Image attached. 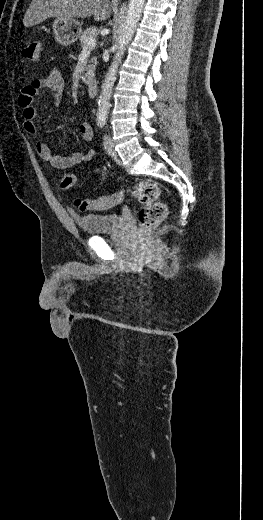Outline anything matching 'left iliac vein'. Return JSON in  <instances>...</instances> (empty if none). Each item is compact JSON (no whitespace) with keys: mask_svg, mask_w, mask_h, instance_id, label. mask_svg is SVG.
Wrapping results in <instances>:
<instances>
[{"mask_svg":"<svg viewBox=\"0 0 263 520\" xmlns=\"http://www.w3.org/2000/svg\"><path fill=\"white\" fill-rule=\"evenodd\" d=\"M104 148L110 156H112V157L117 156V153L114 149L113 142L109 135H105V137H104Z\"/></svg>","mask_w":263,"mask_h":520,"instance_id":"obj_1","label":"left iliac vein"}]
</instances>
